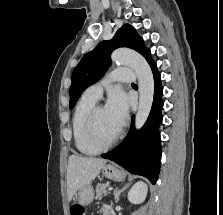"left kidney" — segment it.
Segmentation results:
<instances>
[{
    "label": "left kidney",
    "instance_id": "obj_1",
    "mask_svg": "<svg viewBox=\"0 0 223 215\" xmlns=\"http://www.w3.org/2000/svg\"><path fill=\"white\" fill-rule=\"evenodd\" d=\"M147 191V183H144V181H137V183H134L131 189H129L128 199L131 203H142L147 195Z\"/></svg>",
    "mask_w": 223,
    "mask_h": 215
}]
</instances>
